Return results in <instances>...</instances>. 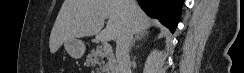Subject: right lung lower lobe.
Returning <instances> with one entry per match:
<instances>
[{"label":"right lung lower lobe","mask_w":244,"mask_h":73,"mask_svg":"<svg viewBox=\"0 0 244 73\" xmlns=\"http://www.w3.org/2000/svg\"><path fill=\"white\" fill-rule=\"evenodd\" d=\"M141 8L152 18L174 32L178 21L183 0H138Z\"/></svg>","instance_id":"98d812e1"}]
</instances>
